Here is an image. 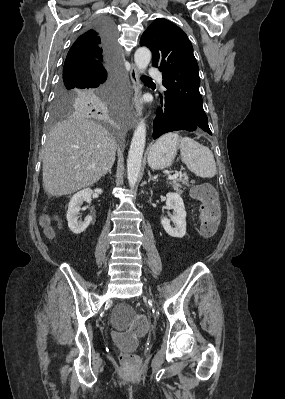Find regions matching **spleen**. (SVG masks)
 Returning <instances> with one entry per match:
<instances>
[{
    "label": "spleen",
    "mask_w": 285,
    "mask_h": 399,
    "mask_svg": "<svg viewBox=\"0 0 285 399\" xmlns=\"http://www.w3.org/2000/svg\"><path fill=\"white\" fill-rule=\"evenodd\" d=\"M180 153L182 161L196 176L211 178L216 175L215 159L208 147L189 137H183L180 141Z\"/></svg>",
    "instance_id": "1"
}]
</instances>
